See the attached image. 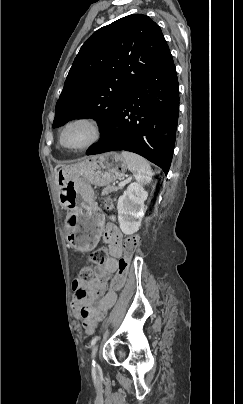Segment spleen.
Masks as SVG:
<instances>
[{
	"label": "spleen",
	"mask_w": 243,
	"mask_h": 404,
	"mask_svg": "<svg viewBox=\"0 0 243 404\" xmlns=\"http://www.w3.org/2000/svg\"><path fill=\"white\" fill-rule=\"evenodd\" d=\"M122 158H124L127 168L135 176V180L141 184V186H146L150 184L152 180V170L149 162L137 154H131V152H121Z\"/></svg>",
	"instance_id": "3e777b00"
}]
</instances>
